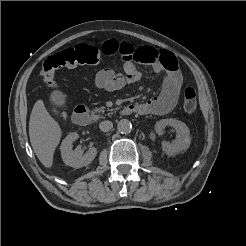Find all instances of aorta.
<instances>
[{"label": "aorta", "instance_id": "obj_1", "mask_svg": "<svg viewBox=\"0 0 246 246\" xmlns=\"http://www.w3.org/2000/svg\"><path fill=\"white\" fill-rule=\"evenodd\" d=\"M117 129L120 133L127 134L132 130V124L127 119H122L117 124Z\"/></svg>", "mask_w": 246, "mask_h": 246}]
</instances>
